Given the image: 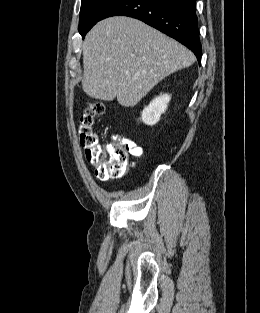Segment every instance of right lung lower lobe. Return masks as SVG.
I'll use <instances>...</instances> for the list:
<instances>
[{
  "mask_svg": "<svg viewBox=\"0 0 260 313\" xmlns=\"http://www.w3.org/2000/svg\"><path fill=\"white\" fill-rule=\"evenodd\" d=\"M196 0H117L101 17L129 16L176 39L201 62Z\"/></svg>",
  "mask_w": 260,
  "mask_h": 313,
  "instance_id": "98d812e1",
  "label": "right lung lower lobe"
}]
</instances>
